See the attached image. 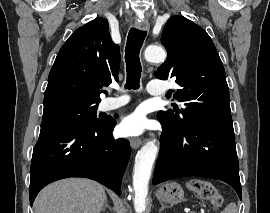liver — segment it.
Returning a JSON list of instances; mask_svg holds the SVG:
<instances>
[{"mask_svg":"<svg viewBox=\"0 0 270 213\" xmlns=\"http://www.w3.org/2000/svg\"><path fill=\"white\" fill-rule=\"evenodd\" d=\"M104 188L92 180L65 179L44 188L34 202L35 213H100Z\"/></svg>","mask_w":270,"mask_h":213,"instance_id":"1","label":"liver"}]
</instances>
